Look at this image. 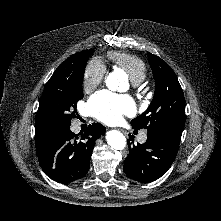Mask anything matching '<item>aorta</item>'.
<instances>
[{"mask_svg":"<svg viewBox=\"0 0 221 221\" xmlns=\"http://www.w3.org/2000/svg\"><path fill=\"white\" fill-rule=\"evenodd\" d=\"M107 87L112 90H118L120 81L117 78L115 73H111L108 75L106 80ZM107 143L114 149L122 150L126 146V138L125 136L117 130H111L106 134Z\"/></svg>","mask_w":221,"mask_h":221,"instance_id":"aorta-1","label":"aorta"}]
</instances>
